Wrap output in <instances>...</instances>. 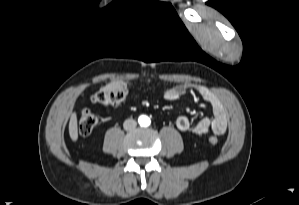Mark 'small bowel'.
Instances as JSON below:
<instances>
[{"instance_id":"1","label":"small bowel","mask_w":299,"mask_h":205,"mask_svg":"<svg viewBox=\"0 0 299 205\" xmlns=\"http://www.w3.org/2000/svg\"><path fill=\"white\" fill-rule=\"evenodd\" d=\"M150 83V81H147ZM131 84V81L113 80L101 88L100 91H108ZM196 91L204 101L208 102L212 107L213 116L203 117L196 124L192 125L190 119L186 116H179L176 119V127L182 132L191 131L196 135H204L210 131L217 134H223L227 128L228 112L218 94L206 86L184 82L166 89L163 93L164 99L174 101L186 94L188 91ZM110 111L109 107L105 109Z\"/></svg>"}]
</instances>
